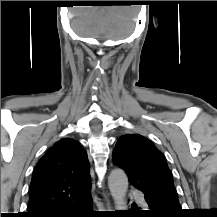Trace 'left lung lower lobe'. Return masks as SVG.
Here are the masks:
<instances>
[{
  "label": "left lung lower lobe",
  "instance_id": "0a47b994",
  "mask_svg": "<svg viewBox=\"0 0 217 217\" xmlns=\"http://www.w3.org/2000/svg\"><path fill=\"white\" fill-rule=\"evenodd\" d=\"M147 203L149 205V210L146 212H137V213L143 214L145 216H150V217H176L178 215V213L167 212L160 209L151 201H147Z\"/></svg>",
  "mask_w": 217,
  "mask_h": 217
}]
</instances>
